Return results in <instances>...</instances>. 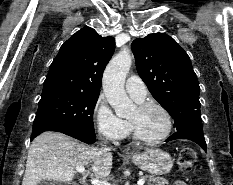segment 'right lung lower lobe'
<instances>
[{
    "instance_id": "right-lung-lower-lobe-1",
    "label": "right lung lower lobe",
    "mask_w": 233,
    "mask_h": 185,
    "mask_svg": "<svg viewBox=\"0 0 233 185\" xmlns=\"http://www.w3.org/2000/svg\"><path fill=\"white\" fill-rule=\"evenodd\" d=\"M66 134L88 144H92L96 141L95 134L84 132H67Z\"/></svg>"
}]
</instances>
